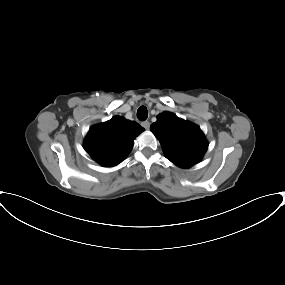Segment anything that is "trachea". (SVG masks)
Segmentation results:
<instances>
[{
  "label": "trachea",
  "mask_w": 285,
  "mask_h": 285,
  "mask_svg": "<svg viewBox=\"0 0 285 285\" xmlns=\"http://www.w3.org/2000/svg\"><path fill=\"white\" fill-rule=\"evenodd\" d=\"M137 117L140 121H145L148 117V111L145 106H141L137 110Z\"/></svg>",
  "instance_id": "1"
}]
</instances>
